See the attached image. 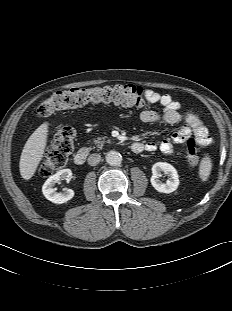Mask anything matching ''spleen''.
Listing matches in <instances>:
<instances>
[{
	"mask_svg": "<svg viewBox=\"0 0 232 311\" xmlns=\"http://www.w3.org/2000/svg\"><path fill=\"white\" fill-rule=\"evenodd\" d=\"M212 169V162L208 156H205L199 165V176L202 181H207Z\"/></svg>",
	"mask_w": 232,
	"mask_h": 311,
	"instance_id": "spleen-1",
	"label": "spleen"
}]
</instances>
